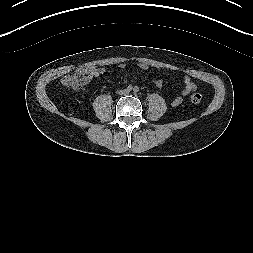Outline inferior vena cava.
<instances>
[{"label": "inferior vena cava", "mask_w": 253, "mask_h": 253, "mask_svg": "<svg viewBox=\"0 0 253 253\" xmlns=\"http://www.w3.org/2000/svg\"><path fill=\"white\" fill-rule=\"evenodd\" d=\"M130 90H126L123 92V94H128Z\"/></svg>", "instance_id": "inferior-vena-cava-1"}]
</instances>
